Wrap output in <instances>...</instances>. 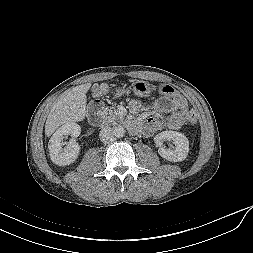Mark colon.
Wrapping results in <instances>:
<instances>
[{
	"instance_id": "1",
	"label": "colon",
	"mask_w": 253,
	"mask_h": 253,
	"mask_svg": "<svg viewBox=\"0 0 253 253\" xmlns=\"http://www.w3.org/2000/svg\"><path fill=\"white\" fill-rule=\"evenodd\" d=\"M159 91L163 94V95H166V96H172L175 94V89L171 86V85H168V84H165V85H161L159 87ZM188 121L190 124L194 125L198 122V115L196 112L194 111H191L189 113V116H188Z\"/></svg>"
}]
</instances>
